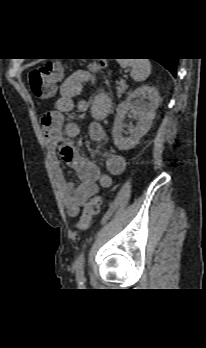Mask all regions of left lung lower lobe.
<instances>
[{
	"mask_svg": "<svg viewBox=\"0 0 206 348\" xmlns=\"http://www.w3.org/2000/svg\"><path fill=\"white\" fill-rule=\"evenodd\" d=\"M155 60L162 64L166 69H168L172 73L174 77H176V67L178 63V58H163Z\"/></svg>",
	"mask_w": 206,
	"mask_h": 348,
	"instance_id": "left-lung-lower-lobe-1",
	"label": "left lung lower lobe"
}]
</instances>
